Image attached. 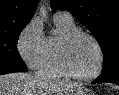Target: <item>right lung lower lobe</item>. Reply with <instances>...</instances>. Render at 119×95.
<instances>
[{"mask_svg": "<svg viewBox=\"0 0 119 95\" xmlns=\"http://www.w3.org/2000/svg\"><path fill=\"white\" fill-rule=\"evenodd\" d=\"M12 72H22V71L14 68L0 67V75L12 73Z\"/></svg>", "mask_w": 119, "mask_h": 95, "instance_id": "right-lung-lower-lobe-1", "label": "right lung lower lobe"}]
</instances>
